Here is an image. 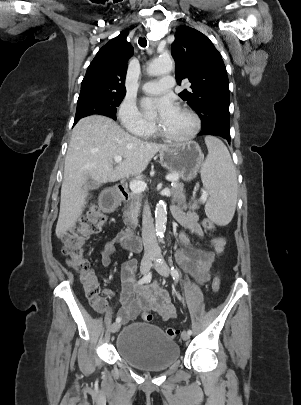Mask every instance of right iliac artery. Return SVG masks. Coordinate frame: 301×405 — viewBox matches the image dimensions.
Listing matches in <instances>:
<instances>
[{
  "instance_id": "1",
  "label": "right iliac artery",
  "mask_w": 301,
  "mask_h": 405,
  "mask_svg": "<svg viewBox=\"0 0 301 405\" xmlns=\"http://www.w3.org/2000/svg\"><path fill=\"white\" fill-rule=\"evenodd\" d=\"M151 278H152V274H151V273L146 274L143 278H141V279L138 281V285H142V284H144V283L150 282V281H151ZM120 321H121V318H120V317H117V318H116V322L119 323Z\"/></svg>"
}]
</instances>
